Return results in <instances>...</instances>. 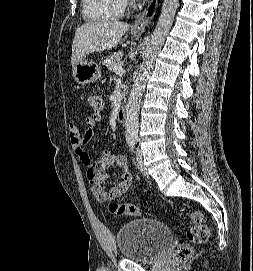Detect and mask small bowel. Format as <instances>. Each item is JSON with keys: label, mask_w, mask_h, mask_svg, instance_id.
<instances>
[{"label": "small bowel", "mask_w": 253, "mask_h": 271, "mask_svg": "<svg viewBox=\"0 0 253 271\" xmlns=\"http://www.w3.org/2000/svg\"><path fill=\"white\" fill-rule=\"evenodd\" d=\"M100 114H92L85 118V130L81 134L75 124L68 126V136L74 155L86 166V175L90 183L93 196L98 202L104 203L116 199L127 192L131 185V174L124 156L105 152L99 159H91L84 150L96 134L100 122ZM113 167L119 170L118 183L109 190H105L103 182L108 178L107 171Z\"/></svg>", "instance_id": "1"}]
</instances>
